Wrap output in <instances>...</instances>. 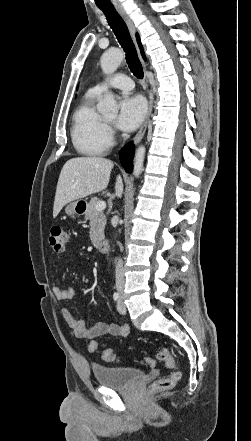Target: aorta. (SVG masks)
I'll list each match as a JSON object with an SVG mask.
<instances>
[{
    "mask_svg": "<svg viewBox=\"0 0 251 441\" xmlns=\"http://www.w3.org/2000/svg\"><path fill=\"white\" fill-rule=\"evenodd\" d=\"M124 58L123 51L120 49H112L106 51L101 57V68L105 74L114 73ZM99 113L105 116H116L118 113V106L113 94L108 93L104 99L97 105ZM145 157V147L140 146L135 153L133 174L136 177L143 171V163Z\"/></svg>",
    "mask_w": 251,
    "mask_h": 441,
    "instance_id": "1",
    "label": "aorta"
}]
</instances>
